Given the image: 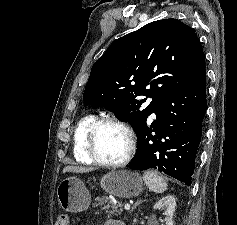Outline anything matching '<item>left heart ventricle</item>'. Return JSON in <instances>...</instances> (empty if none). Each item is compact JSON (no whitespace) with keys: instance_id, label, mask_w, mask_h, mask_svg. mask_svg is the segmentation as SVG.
Wrapping results in <instances>:
<instances>
[{"instance_id":"left-heart-ventricle-1","label":"left heart ventricle","mask_w":237,"mask_h":225,"mask_svg":"<svg viewBox=\"0 0 237 225\" xmlns=\"http://www.w3.org/2000/svg\"><path fill=\"white\" fill-rule=\"evenodd\" d=\"M96 149L102 159L119 161L125 156L128 150L127 136L117 126L104 125L96 134Z\"/></svg>"}]
</instances>
